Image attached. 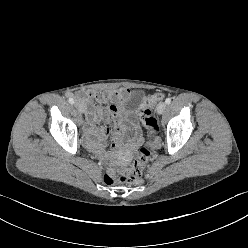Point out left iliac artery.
Instances as JSON below:
<instances>
[{
	"label": "left iliac artery",
	"instance_id": "1",
	"mask_svg": "<svg viewBox=\"0 0 248 248\" xmlns=\"http://www.w3.org/2000/svg\"><path fill=\"white\" fill-rule=\"evenodd\" d=\"M165 103H166V104H170V103H171V98H167V99L165 100Z\"/></svg>",
	"mask_w": 248,
	"mask_h": 248
}]
</instances>
